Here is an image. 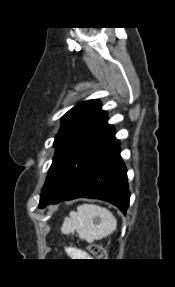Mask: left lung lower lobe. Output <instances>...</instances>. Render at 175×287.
I'll use <instances>...</instances> for the list:
<instances>
[{
    "mask_svg": "<svg viewBox=\"0 0 175 287\" xmlns=\"http://www.w3.org/2000/svg\"><path fill=\"white\" fill-rule=\"evenodd\" d=\"M126 173V167L120 156V143L115 139L49 204L80 197L95 198L108 201L126 213L130 198Z\"/></svg>",
    "mask_w": 175,
    "mask_h": 287,
    "instance_id": "1",
    "label": "left lung lower lobe"
}]
</instances>
